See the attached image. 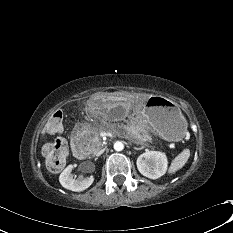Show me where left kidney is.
Instances as JSON below:
<instances>
[{
  "instance_id": "left-kidney-1",
  "label": "left kidney",
  "mask_w": 233,
  "mask_h": 233,
  "mask_svg": "<svg viewBox=\"0 0 233 233\" xmlns=\"http://www.w3.org/2000/svg\"><path fill=\"white\" fill-rule=\"evenodd\" d=\"M168 161L165 153L147 150L137 158L139 172L150 179H157L166 173Z\"/></svg>"
}]
</instances>
